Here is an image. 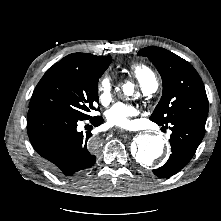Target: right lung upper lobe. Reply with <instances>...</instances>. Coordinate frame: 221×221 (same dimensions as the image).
Here are the masks:
<instances>
[{
	"label": "right lung upper lobe",
	"instance_id": "obj_1",
	"mask_svg": "<svg viewBox=\"0 0 221 221\" xmlns=\"http://www.w3.org/2000/svg\"><path fill=\"white\" fill-rule=\"evenodd\" d=\"M111 61V56H95L85 53H73L67 55L60 62L68 63L80 68H98Z\"/></svg>",
	"mask_w": 221,
	"mask_h": 221
}]
</instances>
